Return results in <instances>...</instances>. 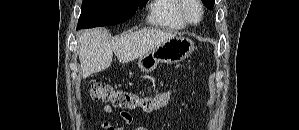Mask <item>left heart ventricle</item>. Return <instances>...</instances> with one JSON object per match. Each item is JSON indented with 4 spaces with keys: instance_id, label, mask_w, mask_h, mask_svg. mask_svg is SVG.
I'll return each mask as SVG.
<instances>
[{
    "instance_id": "1",
    "label": "left heart ventricle",
    "mask_w": 299,
    "mask_h": 130,
    "mask_svg": "<svg viewBox=\"0 0 299 130\" xmlns=\"http://www.w3.org/2000/svg\"><path fill=\"white\" fill-rule=\"evenodd\" d=\"M187 12L191 20L197 21L199 19V9L196 5L191 4Z\"/></svg>"
}]
</instances>
